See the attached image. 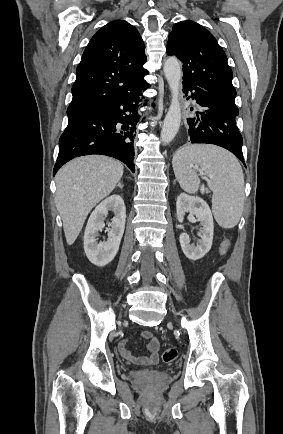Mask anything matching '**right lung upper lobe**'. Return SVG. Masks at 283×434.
I'll use <instances>...</instances> for the list:
<instances>
[{
  "label": "right lung upper lobe",
  "instance_id": "obj_1",
  "mask_svg": "<svg viewBox=\"0 0 283 434\" xmlns=\"http://www.w3.org/2000/svg\"><path fill=\"white\" fill-rule=\"evenodd\" d=\"M145 45L136 28L123 20L102 27L90 40L76 71L68 117L135 90L148 71Z\"/></svg>",
  "mask_w": 283,
  "mask_h": 434
}]
</instances>
